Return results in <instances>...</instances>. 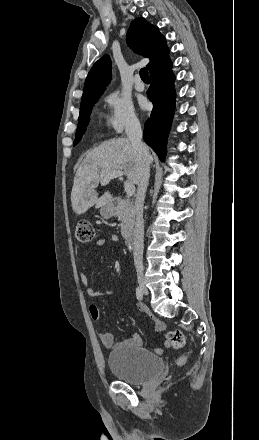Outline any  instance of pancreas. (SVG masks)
Instances as JSON below:
<instances>
[{
	"label": "pancreas",
	"mask_w": 259,
	"mask_h": 440,
	"mask_svg": "<svg viewBox=\"0 0 259 440\" xmlns=\"http://www.w3.org/2000/svg\"><path fill=\"white\" fill-rule=\"evenodd\" d=\"M116 215L121 221V234L126 238L132 232L135 222V209L133 203L129 200H120L116 208Z\"/></svg>",
	"instance_id": "cf45deb5"
}]
</instances>
